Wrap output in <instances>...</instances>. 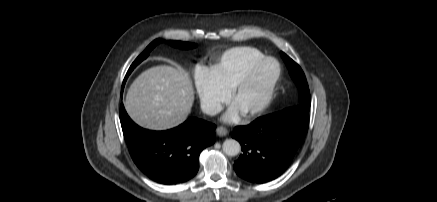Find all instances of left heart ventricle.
<instances>
[{
  "label": "left heart ventricle",
  "instance_id": "1",
  "mask_svg": "<svg viewBox=\"0 0 437 202\" xmlns=\"http://www.w3.org/2000/svg\"><path fill=\"white\" fill-rule=\"evenodd\" d=\"M275 71L276 66L272 62L264 64L257 70L251 82L234 101V104L240 109L241 113L253 109L260 103Z\"/></svg>",
  "mask_w": 437,
  "mask_h": 202
}]
</instances>
